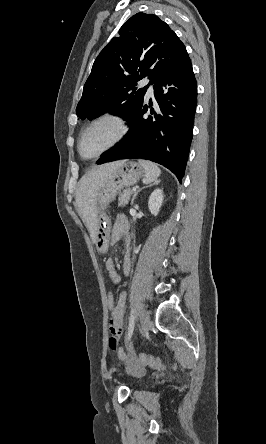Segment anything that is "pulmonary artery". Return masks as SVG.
Wrapping results in <instances>:
<instances>
[{
  "mask_svg": "<svg viewBox=\"0 0 266 444\" xmlns=\"http://www.w3.org/2000/svg\"><path fill=\"white\" fill-rule=\"evenodd\" d=\"M149 84V80L148 79H144L141 83V86H147ZM154 95V89L152 85H149L146 91V97L147 98H151Z\"/></svg>",
  "mask_w": 266,
  "mask_h": 444,
  "instance_id": "e3ab8cb5",
  "label": "pulmonary artery"
}]
</instances>
